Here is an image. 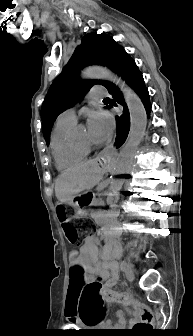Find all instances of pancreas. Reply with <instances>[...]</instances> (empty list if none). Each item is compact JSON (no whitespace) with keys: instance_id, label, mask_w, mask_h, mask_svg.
Wrapping results in <instances>:
<instances>
[{"instance_id":"obj_1","label":"pancreas","mask_w":193,"mask_h":336,"mask_svg":"<svg viewBox=\"0 0 193 336\" xmlns=\"http://www.w3.org/2000/svg\"><path fill=\"white\" fill-rule=\"evenodd\" d=\"M106 202L104 200H97L93 205V210L101 213L105 209Z\"/></svg>"}]
</instances>
